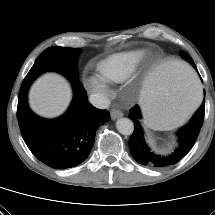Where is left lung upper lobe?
I'll list each match as a JSON object with an SVG mask.
<instances>
[{
  "label": "left lung upper lobe",
  "mask_w": 215,
  "mask_h": 215,
  "mask_svg": "<svg viewBox=\"0 0 215 215\" xmlns=\"http://www.w3.org/2000/svg\"><path fill=\"white\" fill-rule=\"evenodd\" d=\"M180 53L186 61H188L195 69H197L190 55H188L186 52H183V51H180Z\"/></svg>",
  "instance_id": "obj_1"
}]
</instances>
